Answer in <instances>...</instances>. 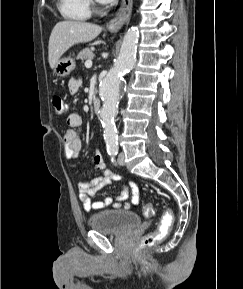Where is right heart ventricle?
<instances>
[{
    "label": "right heart ventricle",
    "instance_id": "right-heart-ventricle-1",
    "mask_svg": "<svg viewBox=\"0 0 243 289\" xmlns=\"http://www.w3.org/2000/svg\"><path fill=\"white\" fill-rule=\"evenodd\" d=\"M57 7L68 20L85 21L91 16L89 0H58Z\"/></svg>",
    "mask_w": 243,
    "mask_h": 289
}]
</instances>
